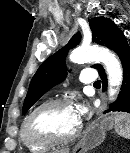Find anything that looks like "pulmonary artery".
<instances>
[{"instance_id":"e3ab8cb5","label":"pulmonary artery","mask_w":130,"mask_h":153,"mask_svg":"<svg viewBox=\"0 0 130 153\" xmlns=\"http://www.w3.org/2000/svg\"><path fill=\"white\" fill-rule=\"evenodd\" d=\"M97 73L95 70H84L80 75V81L83 84H90L96 81Z\"/></svg>"}]
</instances>
